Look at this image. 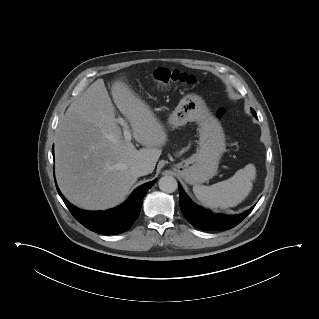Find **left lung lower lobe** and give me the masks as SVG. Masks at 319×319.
Returning <instances> with one entry per match:
<instances>
[{"instance_id": "1", "label": "left lung lower lobe", "mask_w": 319, "mask_h": 319, "mask_svg": "<svg viewBox=\"0 0 319 319\" xmlns=\"http://www.w3.org/2000/svg\"><path fill=\"white\" fill-rule=\"evenodd\" d=\"M256 116V115H255ZM179 205L184 217L195 227L202 230H227L239 224L254 208L237 215L213 214L194 204L182 190L180 184Z\"/></svg>"}]
</instances>
